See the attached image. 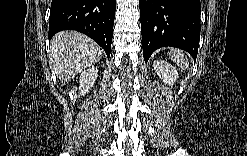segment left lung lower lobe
<instances>
[{
    "label": "left lung lower lobe",
    "instance_id": "1",
    "mask_svg": "<svg viewBox=\"0 0 247 156\" xmlns=\"http://www.w3.org/2000/svg\"><path fill=\"white\" fill-rule=\"evenodd\" d=\"M143 56L166 46L197 56L200 39V0H139Z\"/></svg>",
    "mask_w": 247,
    "mask_h": 156
}]
</instances>
